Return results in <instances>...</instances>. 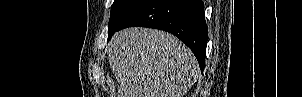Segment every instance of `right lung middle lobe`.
Instances as JSON below:
<instances>
[{
  "label": "right lung middle lobe",
  "instance_id": "dd1d6c3e",
  "mask_svg": "<svg viewBox=\"0 0 302 97\" xmlns=\"http://www.w3.org/2000/svg\"><path fill=\"white\" fill-rule=\"evenodd\" d=\"M145 0H115L108 25V40L124 19L137 9Z\"/></svg>",
  "mask_w": 302,
  "mask_h": 97
}]
</instances>
